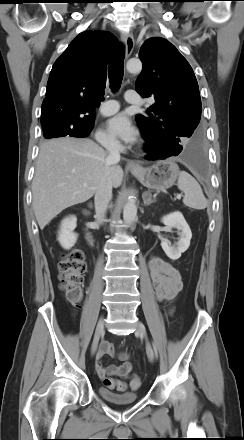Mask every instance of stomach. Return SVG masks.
Returning a JSON list of instances; mask_svg holds the SVG:
<instances>
[{"mask_svg":"<svg viewBox=\"0 0 244 440\" xmlns=\"http://www.w3.org/2000/svg\"><path fill=\"white\" fill-rule=\"evenodd\" d=\"M130 171L145 187L160 191L172 187L180 172L178 165L171 159Z\"/></svg>","mask_w":244,"mask_h":440,"instance_id":"1","label":"stomach"}]
</instances>
